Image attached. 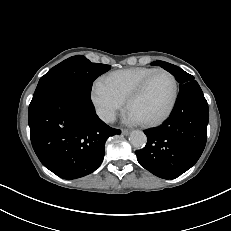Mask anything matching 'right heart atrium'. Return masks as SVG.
Segmentation results:
<instances>
[{
    "label": "right heart atrium",
    "mask_w": 231,
    "mask_h": 231,
    "mask_svg": "<svg viewBox=\"0 0 231 231\" xmlns=\"http://www.w3.org/2000/svg\"><path fill=\"white\" fill-rule=\"evenodd\" d=\"M91 100L99 117L105 122H112L123 107V102L97 82L91 91Z\"/></svg>",
    "instance_id": "1"
}]
</instances>
